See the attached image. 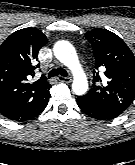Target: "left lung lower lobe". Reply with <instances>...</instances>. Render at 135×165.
<instances>
[{
    "mask_svg": "<svg viewBox=\"0 0 135 165\" xmlns=\"http://www.w3.org/2000/svg\"><path fill=\"white\" fill-rule=\"evenodd\" d=\"M76 102L84 113L95 119L109 120L118 116L112 113L111 111L107 110L106 108L85 98L78 97L76 99Z\"/></svg>",
    "mask_w": 135,
    "mask_h": 165,
    "instance_id": "left-lung-lower-lobe-1",
    "label": "left lung lower lobe"
}]
</instances>
